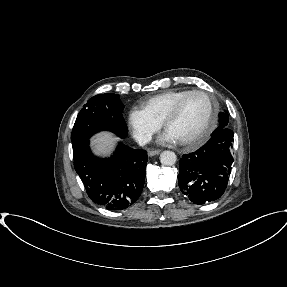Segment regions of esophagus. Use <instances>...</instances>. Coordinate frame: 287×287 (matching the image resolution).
Here are the masks:
<instances>
[{"label": "esophagus", "instance_id": "esophagus-1", "mask_svg": "<svg viewBox=\"0 0 287 287\" xmlns=\"http://www.w3.org/2000/svg\"><path fill=\"white\" fill-rule=\"evenodd\" d=\"M160 153V150H150V151H148V155L150 156V157H152V156H155V155H158Z\"/></svg>", "mask_w": 287, "mask_h": 287}]
</instances>
